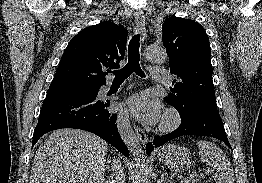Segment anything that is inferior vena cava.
Here are the masks:
<instances>
[{
	"instance_id": "inferior-vena-cava-1",
	"label": "inferior vena cava",
	"mask_w": 262,
	"mask_h": 183,
	"mask_svg": "<svg viewBox=\"0 0 262 183\" xmlns=\"http://www.w3.org/2000/svg\"><path fill=\"white\" fill-rule=\"evenodd\" d=\"M112 170L114 171V176L117 183H125V173L121 164L117 160H113L112 162Z\"/></svg>"
}]
</instances>
